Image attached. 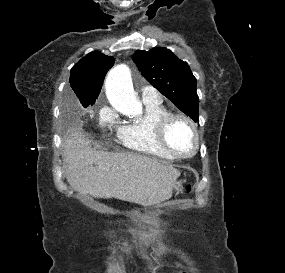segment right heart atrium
Here are the masks:
<instances>
[{"label": "right heart atrium", "instance_id": "1", "mask_svg": "<svg viewBox=\"0 0 285 273\" xmlns=\"http://www.w3.org/2000/svg\"><path fill=\"white\" fill-rule=\"evenodd\" d=\"M98 121L101 127L111 128L115 126L117 122V114L112 108L104 106L99 111Z\"/></svg>", "mask_w": 285, "mask_h": 273}]
</instances>
